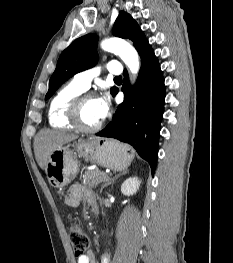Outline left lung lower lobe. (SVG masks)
Masks as SVG:
<instances>
[{
  "instance_id": "1",
  "label": "left lung lower lobe",
  "mask_w": 233,
  "mask_h": 263,
  "mask_svg": "<svg viewBox=\"0 0 233 263\" xmlns=\"http://www.w3.org/2000/svg\"><path fill=\"white\" fill-rule=\"evenodd\" d=\"M141 68L136 84L131 87L124 71V102L115 112L112 121L97 136L115 138L132 145L145 159L154 174L160 123L164 111L165 85L160 64L147 43L141 52ZM118 93L116 89L112 95Z\"/></svg>"
}]
</instances>
